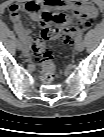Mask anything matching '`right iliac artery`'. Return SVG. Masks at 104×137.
Masks as SVG:
<instances>
[{
  "instance_id": "obj_1",
  "label": "right iliac artery",
  "mask_w": 104,
  "mask_h": 137,
  "mask_svg": "<svg viewBox=\"0 0 104 137\" xmlns=\"http://www.w3.org/2000/svg\"><path fill=\"white\" fill-rule=\"evenodd\" d=\"M17 34H18V37L20 39V42L21 43H24L25 42V39L22 37V35L17 31Z\"/></svg>"
}]
</instances>
